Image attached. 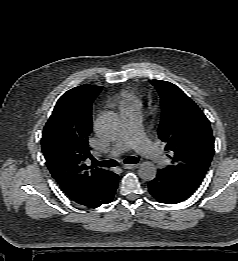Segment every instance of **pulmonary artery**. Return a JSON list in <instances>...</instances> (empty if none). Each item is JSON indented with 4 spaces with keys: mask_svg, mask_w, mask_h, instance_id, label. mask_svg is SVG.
<instances>
[{
    "mask_svg": "<svg viewBox=\"0 0 238 261\" xmlns=\"http://www.w3.org/2000/svg\"><path fill=\"white\" fill-rule=\"evenodd\" d=\"M121 131L116 142L109 151L110 157H117L131 148L137 150L155 163H164L165 155L144 135L141 128L140 109L128 108L120 111Z\"/></svg>",
    "mask_w": 238,
    "mask_h": 261,
    "instance_id": "e3ab8cb5",
    "label": "pulmonary artery"
}]
</instances>
